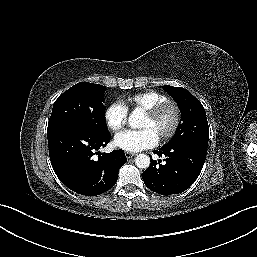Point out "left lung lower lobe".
<instances>
[{
    "instance_id": "left-lung-lower-lobe-1",
    "label": "left lung lower lobe",
    "mask_w": 257,
    "mask_h": 257,
    "mask_svg": "<svg viewBox=\"0 0 257 257\" xmlns=\"http://www.w3.org/2000/svg\"><path fill=\"white\" fill-rule=\"evenodd\" d=\"M162 160H151V164L142 173L145 185L152 191L162 194H178L187 190L198 178L205 162L207 147L199 144L164 146L154 151Z\"/></svg>"
}]
</instances>
